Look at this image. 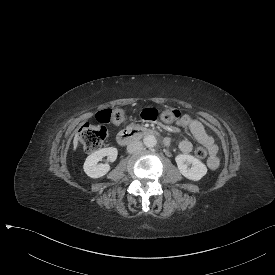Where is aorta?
Masks as SVG:
<instances>
[{
	"label": "aorta",
	"mask_w": 275,
	"mask_h": 275,
	"mask_svg": "<svg viewBox=\"0 0 275 275\" xmlns=\"http://www.w3.org/2000/svg\"><path fill=\"white\" fill-rule=\"evenodd\" d=\"M143 143L146 147H154L157 144V140L154 135H146L143 138Z\"/></svg>",
	"instance_id": "aorta-1"
}]
</instances>
